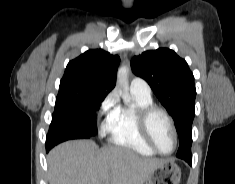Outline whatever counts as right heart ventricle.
Returning a JSON list of instances; mask_svg holds the SVG:
<instances>
[{
  "mask_svg": "<svg viewBox=\"0 0 235 184\" xmlns=\"http://www.w3.org/2000/svg\"><path fill=\"white\" fill-rule=\"evenodd\" d=\"M135 98V107H119L115 113L111 136L106 146L108 155L112 158H122L129 153L148 157L156 155L142 135L137 118L139 109L153 105L152 98L138 95Z\"/></svg>",
  "mask_w": 235,
  "mask_h": 184,
  "instance_id": "obj_1",
  "label": "right heart ventricle"
}]
</instances>
